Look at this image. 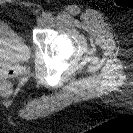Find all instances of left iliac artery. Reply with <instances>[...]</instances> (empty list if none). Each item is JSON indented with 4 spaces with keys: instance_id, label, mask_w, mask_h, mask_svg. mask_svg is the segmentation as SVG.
<instances>
[{
    "instance_id": "44dca946",
    "label": "left iliac artery",
    "mask_w": 133,
    "mask_h": 133,
    "mask_svg": "<svg viewBox=\"0 0 133 133\" xmlns=\"http://www.w3.org/2000/svg\"><path fill=\"white\" fill-rule=\"evenodd\" d=\"M43 16L45 17L46 20H48L52 16V13H46Z\"/></svg>"
}]
</instances>
